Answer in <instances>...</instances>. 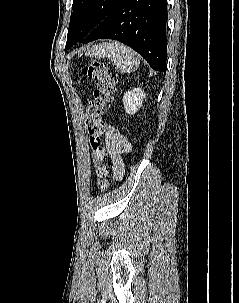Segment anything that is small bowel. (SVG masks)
I'll use <instances>...</instances> for the list:
<instances>
[{
  "label": "small bowel",
  "mask_w": 239,
  "mask_h": 303,
  "mask_svg": "<svg viewBox=\"0 0 239 303\" xmlns=\"http://www.w3.org/2000/svg\"><path fill=\"white\" fill-rule=\"evenodd\" d=\"M130 142L127 137L116 128H108L105 135V150L112 162L113 175L121 179L124 175L123 155L130 151Z\"/></svg>",
  "instance_id": "small-bowel-1"
}]
</instances>
